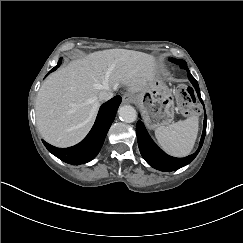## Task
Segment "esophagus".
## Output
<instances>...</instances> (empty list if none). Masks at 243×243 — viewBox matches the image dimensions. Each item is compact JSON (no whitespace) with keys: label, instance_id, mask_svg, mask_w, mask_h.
Instances as JSON below:
<instances>
[{"label":"esophagus","instance_id":"obj_1","mask_svg":"<svg viewBox=\"0 0 243 243\" xmlns=\"http://www.w3.org/2000/svg\"><path fill=\"white\" fill-rule=\"evenodd\" d=\"M132 100H133V96H132V94H130V93H125V94L123 95L122 102H123L124 104H127V103L131 102Z\"/></svg>","mask_w":243,"mask_h":243}]
</instances>
